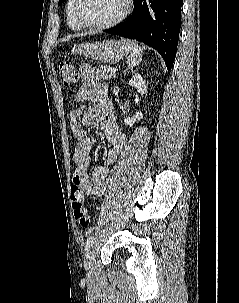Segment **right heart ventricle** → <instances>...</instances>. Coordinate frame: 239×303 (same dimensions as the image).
Wrapping results in <instances>:
<instances>
[{
    "label": "right heart ventricle",
    "instance_id": "right-heart-ventricle-1",
    "mask_svg": "<svg viewBox=\"0 0 239 303\" xmlns=\"http://www.w3.org/2000/svg\"><path fill=\"white\" fill-rule=\"evenodd\" d=\"M75 0H68L66 4V18L68 26L73 30H81L82 27L77 23L74 14H73V6Z\"/></svg>",
    "mask_w": 239,
    "mask_h": 303
}]
</instances>
